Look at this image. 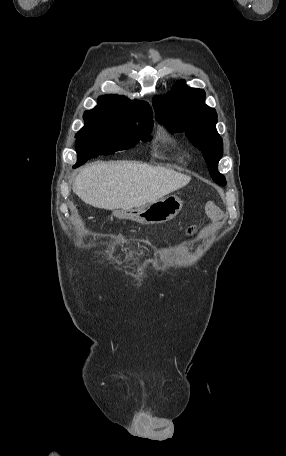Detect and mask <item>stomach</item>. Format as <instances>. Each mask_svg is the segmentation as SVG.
<instances>
[{
    "mask_svg": "<svg viewBox=\"0 0 286 456\" xmlns=\"http://www.w3.org/2000/svg\"><path fill=\"white\" fill-rule=\"evenodd\" d=\"M183 201L175 196H167L138 209L139 221L146 224L164 223L173 219L182 209Z\"/></svg>",
    "mask_w": 286,
    "mask_h": 456,
    "instance_id": "obj_1",
    "label": "stomach"
}]
</instances>
